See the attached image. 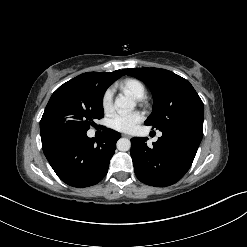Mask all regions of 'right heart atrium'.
Returning <instances> with one entry per match:
<instances>
[{
  "instance_id": "d8ad5b80",
  "label": "right heart atrium",
  "mask_w": 247,
  "mask_h": 247,
  "mask_svg": "<svg viewBox=\"0 0 247 247\" xmlns=\"http://www.w3.org/2000/svg\"><path fill=\"white\" fill-rule=\"evenodd\" d=\"M113 106V94L111 90H107L102 97V108L105 112H110Z\"/></svg>"
}]
</instances>
